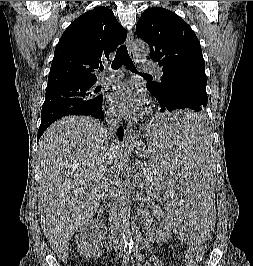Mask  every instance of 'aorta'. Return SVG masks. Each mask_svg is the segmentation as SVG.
<instances>
[{"instance_id": "aorta-1", "label": "aorta", "mask_w": 253, "mask_h": 266, "mask_svg": "<svg viewBox=\"0 0 253 266\" xmlns=\"http://www.w3.org/2000/svg\"><path fill=\"white\" fill-rule=\"evenodd\" d=\"M134 53L137 57H147L149 55V47L143 41H138L133 47ZM133 186L130 183L128 176L121 182L118 189V203H119V215L122 219L123 225V239L124 242H131V236L126 228L127 220L130 217L131 211V195Z\"/></svg>"}]
</instances>
